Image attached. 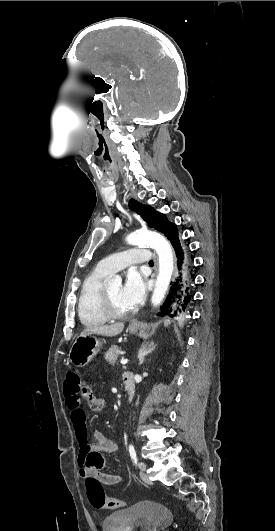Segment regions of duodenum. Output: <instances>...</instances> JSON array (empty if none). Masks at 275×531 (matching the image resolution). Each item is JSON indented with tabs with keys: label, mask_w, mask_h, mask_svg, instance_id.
Instances as JSON below:
<instances>
[{
	"label": "duodenum",
	"mask_w": 275,
	"mask_h": 531,
	"mask_svg": "<svg viewBox=\"0 0 275 531\" xmlns=\"http://www.w3.org/2000/svg\"><path fill=\"white\" fill-rule=\"evenodd\" d=\"M122 382L125 388L126 400L131 402L135 395V382L132 374L130 372L123 373Z\"/></svg>",
	"instance_id": "obj_1"
}]
</instances>
